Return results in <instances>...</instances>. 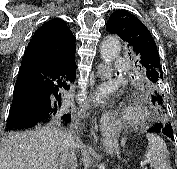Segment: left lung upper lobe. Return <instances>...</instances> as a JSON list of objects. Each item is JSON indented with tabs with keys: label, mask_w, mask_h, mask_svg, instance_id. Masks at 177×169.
I'll use <instances>...</instances> for the list:
<instances>
[{
	"label": "left lung upper lobe",
	"mask_w": 177,
	"mask_h": 169,
	"mask_svg": "<svg viewBox=\"0 0 177 169\" xmlns=\"http://www.w3.org/2000/svg\"><path fill=\"white\" fill-rule=\"evenodd\" d=\"M106 29L112 34H117L125 43L129 54L141 64L140 70L145 84L153 92V96L161 98V103H163L159 106L165 114L164 101L159 95L163 71L156 43L149 30L134 15L123 10L115 11L110 16ZM164 123L171 125L166 118H164Z\"/></svg>",
	"instance_id": "5c2ea615"
}]
</instances>
